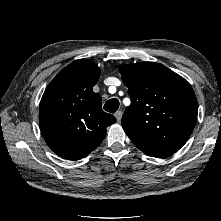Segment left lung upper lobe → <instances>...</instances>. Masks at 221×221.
<instances>
[{
	"instance_id": "left-lung-upper-lobe-1",
	"label": "left lung upper lobe",
	"mask_w": 221,
	"mask_h": 221,
	"mask_svg": "<svg viewBox=\"0 0 221 221\" xmlns=\"http://www.w3.org/2000/svg\"><path fill=\"white\" fill-rule=\"evenodd\" d=\"M119 72L131 97L122 127L133 144L152 157L179 150L197 120V100L190 84L155 62L121 65Z\"/></svg>"
}]
</instances>
